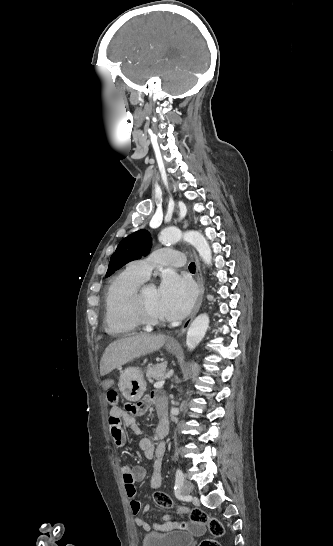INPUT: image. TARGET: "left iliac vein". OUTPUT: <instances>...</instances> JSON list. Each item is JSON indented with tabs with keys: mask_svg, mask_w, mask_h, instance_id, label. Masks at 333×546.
I'll list each match as a JSON object with an SVG mask.
<instances>
[{
	"mask_svg": "<svg viewBox=\"0 0 333 546\" xmlns=\"http://www.w3.org/2000/svg\"><path fill=\"white\" fill-rule=\"evenodd\" d=\"M192 490H193V484L189 481H185L182 486V494L189 495L191 494Z\"/></svg>",
	"mask_w": 333,
	"mask_h": 546,
	"instance_id": "left-iliac-vein-1",
	"label": "left iliac vein"
}]
</instances>
